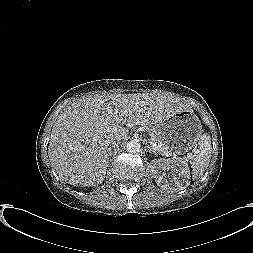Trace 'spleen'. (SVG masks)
Masks as SVG:
<instances>
[{"mask_svg": "<svg viewBox=\"0 0 253 253\" xmlns=\"http://www.w3.org/2000/svg\"><path fill=\"white\" fill-rule=\"evenodd\" d=\"M199 150L195 158L191 162L193 171V179H198L207 169L211 159V137L205 133L201 135L199 140Z\"/></svg>", "mask_w": 253, "mask_h": 253, "instance_id": "obj_1", "label": "spleen"}]
</instances>
